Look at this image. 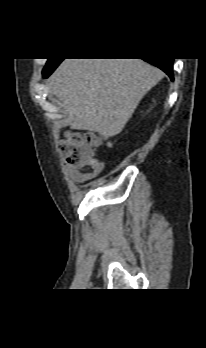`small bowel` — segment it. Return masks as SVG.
Listing matches in <instances>:
<instances>
[{"instance_id":"obj_1","label":"small bowel","mask_w":206,"mask_h":348,"mask_svg":"<svg viewBox=\"0 0 206 348\" xmlns=\"http://www.w3.org/2000/svg\"><path fill=\"white\" fill-rule=\"evenodd\" d=\"M104 167V163L99 160H94L93 162L79 168L72 167L68 164L65 165V169L71 180L79 184L97 178L103 172Z\"/></svg>"}]
</instances>
